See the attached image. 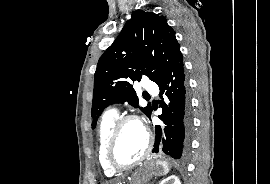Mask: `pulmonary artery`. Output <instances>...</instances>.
<instances>
[{"label": "pulmonary artery", "mask_w": 270, "mask_h": 184, "mask_svg": "<svg viewBox=\"0 0 270 184\" xmlns=\"http://www.w3.org/2000/svg\"><path fill=\"white\" fill-rule=\"evenodd\" d=\"M144 89L152 94H155L158 91L157 85L149 80L144 83Z\"/></svg>", "instance_id": "1"}]
</instances>
